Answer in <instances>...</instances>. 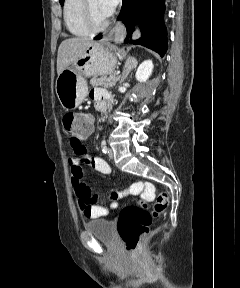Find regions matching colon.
Instances as JSON below:
<instances>
[{
	"label": "colon",
	"instance_id": "colon-1",
	"mask_svg": "<svg viewBox=\"0 0 240 288\" xmlns=\"http://www.w3.org/2000/svg\"><path fill=\"white\" fill-rule=\"evenodd\" d=\"M63 129L71 138H81L88 135L93 126L90 115L85 113L69 112L64 115ZM146 183L136 185V189L148 187ZM118 194L112 192L110 199H116ZM169 204V196L164 191L156 195L153 210L149 211L146 204L130 205L124 207L118 219V232L128 253H135L138 250L141 239L147 234L153 217L162 213Z\"/></svg>",
	"mask_w": 240,
	"mask_h": 288
}]
</instances>
